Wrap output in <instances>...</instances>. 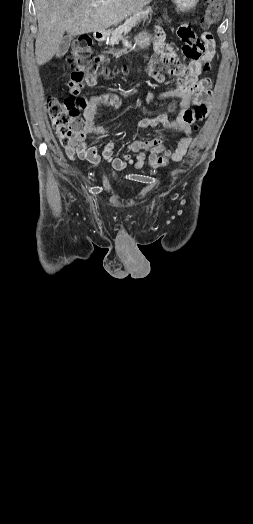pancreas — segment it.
<instances>
[{
  "mask_svg": "<svg viewBox=\"0 0 253 524\" xmlns=\"http://www.w3.org/2000/svg\"><path fill=\"white\" fill-rule=\"evenodd\" d=\"M153 13V9L151 7H147L144 10H140L137 13L133 14L130 18L126 19V21L119 25L117 28L111 30L109 32V39L108 44L113 45L115 43H118L119 40L123 38L131 29L132 27L136 26L141 22V20L148 19L149 16H151Z\"/></svg>",
  "mask_w": 253,
  "mask_h": 524,
  "instance_id": "cf45deb5",
  "label": "pancreas"
}]
</instances>
